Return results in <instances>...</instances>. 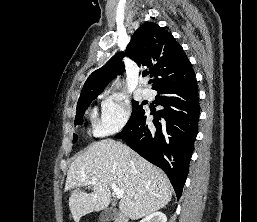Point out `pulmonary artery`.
I'll list each match as a JSON object with an SVG mask.
<instances>
[{"mask_svg":"<svg viewBox=\"0 0 257 222\" xmlns=\"http://www.w3.org/2000/svg\"><path fill=\"white\" fill-rule=\"evenodd\" d=\"M145 83H146V81L144 80L143 84H145ZM142 97L144 99H150L152 97V92L149 89H147V88H143V90H142Z\"/></svg>","mask_w":257,"mask_h":222,"instance_id":"e3ab8cb5","label":"pulmonary artery"}]
</instances>
